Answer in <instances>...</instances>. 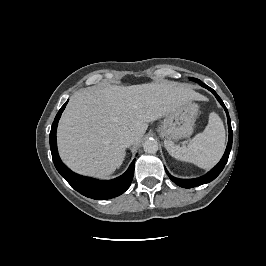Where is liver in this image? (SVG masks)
<instances>
[{"label": "liver", "mask_w": 266, "mask_h": 266, "mask_svg": "<svg viewBox=\"0 0 266 266\" xmlns=\"http://www.w3.org/2000/svg\"><path fill=\"white\" fill-rule=\"evenodd\" d=\"M200 96L188 85L163 81L77 91L62 114L57 131L59 153L74 172L105 177L125 158L122 136L140 142L148 123Z\"/></svg>", "instance_id": "liver-1"}]
</instances>
